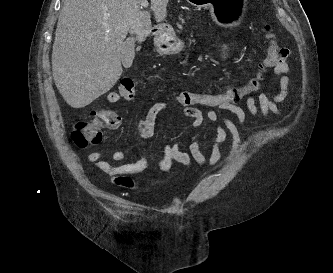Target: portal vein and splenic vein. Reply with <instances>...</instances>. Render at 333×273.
<instances>
[{
  "mask_svg": "<svg viewBox=\"0 0 333 273\" xmlns=\"http://www.w3.org/2000/svg\"><path fill=\"white\" fill-rule=\"evenodd\" d=\"M146 7H148V2H147V0H144L141 2L140 8L142 9V8H146Z\"/></svg>",
  "mask_w": 333,
  "mask_h": 273,
  "instance_id": "portal-vein-and-splenic-vein-1",
  "label": "portal vein and splenic vein"
}]
</instances>
